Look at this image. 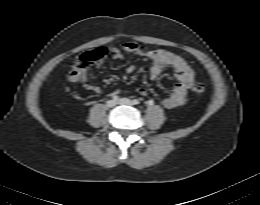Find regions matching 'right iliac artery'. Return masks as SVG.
<instances>
[{
	"mask_svg": "<svg viewBox=\"0 0 260 205\" xmlns=\"http://www.w3.org/2000/svg\"><path fill=\"white\" fill-rule=\"evenodd\" d=\"M112 99H113L114 101H116V100H118V96H117V95H113V96H112Z\"/></svg>",
	"mask_w": 260,
	"mask_h": 205,
	"instance_id": "right-iliac-artery-1",
	"label": "right iliac artery"
}]
</instances>
